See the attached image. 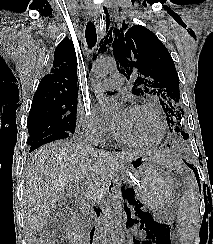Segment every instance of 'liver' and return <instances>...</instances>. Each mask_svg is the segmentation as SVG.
<instances>
[{
    "label": "liver",
    "mask_w": 213,
    "mask_h": 244,
    "mask_svg": "<svg viewBox=\"0 0 213 244\" xmlns=\"http://www.w3.org/2000/svg\"><path fill=\"white\" fill-rule=\"evenodd\" d=\"M141 155L162 165L169 163V158L161 153H109L65 140L36 150L24 174L23 206L28 235L49 222L66 191L78 190L79 183L86 182L88 200H103L116 169Z\"/></svg>",
    "instance_id": "6515ba94"
}]
</instances>
